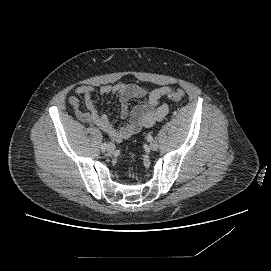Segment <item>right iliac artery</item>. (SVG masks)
Instances as JSON below:
<instances>
[{
  "mask_svg": "<svg viewBox=\"0 0 271 271\" xmlns=\"http://www.w3.org/2000/svg\"><path fill=\"white\" fill-rule=\"evenodd\" d=\"M107 143H103L102 145H101V149L104 151L106 148H107Z\"/></svg>",
  "mask_w": 271,
  "mask_h": 271,
  "instance_id": "obj_1",
  "label": "right iliac artery"
}]
</instances>
